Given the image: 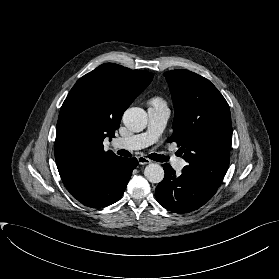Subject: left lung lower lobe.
<instances>
[{
  "instance_id": "obj_1",
  "label": "left lung lower lobe",
  "mask_w": 279,
  "mask_h": 279,
  "mask_svg": "<svg viewBox=\"0 0 279 279\" xmlns=\"http://www.w3.org/2000/svg\"><path fill=\"white\" fill-rule=\"evenodd\" d=\"M164 179L158 184L155 196L160 205L174 213H188L198 209L216 193L215 186L201 177L182 171L176 176L168 164L163 165Z\"/></svg>"
}]
</instances>
